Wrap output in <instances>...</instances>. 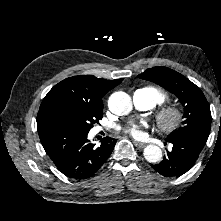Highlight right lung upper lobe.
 <instances>
[{
    "instance_id": "cb5924a9",
    "label": "right lung upper lobe",
    "mask_w": 221,
    "mask_h": 221,
    "mask_svg": "<svg viewBox=\"0 0 221 221\" xmlns=\"http://www.w3.org/2000/svg\"><path fill=\"white\" fill-rule=\"evenodd\" d=\"M122 80L81 75L61 81L43 99L37 114V123L54 122V119L62 113L81 109L103 112L102 97Z\"/></svg>"
}]
</instances>
